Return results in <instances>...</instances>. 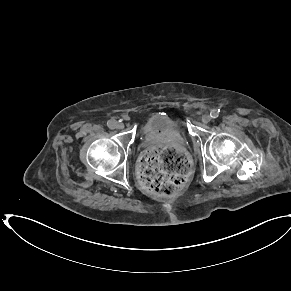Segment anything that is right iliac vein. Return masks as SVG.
<instances>
[{
	"label": "right iliac vein",
	"instance_id": "obj_1",
	"mask_svg": "<svg viewBox=\"0 0 291 291\" xmlns=\"http://www.w3.org/2000/svg\"><path fill=\"white\" fill-rule=\"evenodd\" d=\"M116 128L123 129L124 128V124L123 123H118Z\"/></svg>",
	"mask_w": 291,
	"mask_h": 291
}]
</instances>
